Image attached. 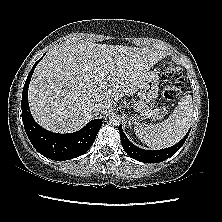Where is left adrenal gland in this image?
<instances>
[{"instance_id":"a2214340","label":"left adrenal gland","mask_w":222,"mask_h":222,"mask_svg":"<svg viewBox=\"0 0 222 222\" xmlns=\"http://www.w3.org/2000/svg\"><path fill=\"white\" fill-rule=\"evenodd\" d=\"M128 124H129V127L131 128L132 127L131 119H129Z\"/></svg>"}]
</instances>
